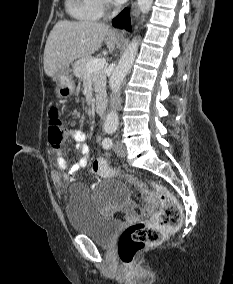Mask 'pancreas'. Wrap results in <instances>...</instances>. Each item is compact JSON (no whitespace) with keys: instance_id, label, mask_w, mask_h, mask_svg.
<instances>
[{"instance_id":"pancreas-1","label":"pancreas","mask_w":233,"mask_h":284,"mask_svg":"<svg viewBox=\"0 0 233 284\" xmlns=\"http://www.w3.org/2000/svg\"><path fill=\"white\" fill-rule=\"evenodd\" d=\"M94 57H85L74 63V74L80 80L84 81L88 77L94 85L96 103L98 105L106 102V75L103 69L98 71H89L87 64L94 60Z\"/></svg>"}]
</instances>
